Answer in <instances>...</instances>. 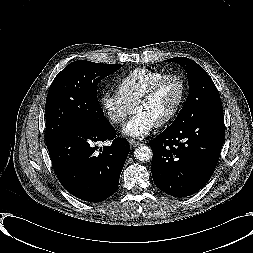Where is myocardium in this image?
<instances>
[{
    "instance_id": "obj_1",
    "label": "myocardium",
    "mask_w": 253,
    "mask_h": 253,
    "mask_svg": "<svg viewBox=\"0 0 253 253\" xmlns=\"http://www.w3.org/2000/svg\"><path fill=\"white\" fill-rule=\"evenodd\" d=\"M169 78H175L179 81L180 86H181V95L175 109L169 115H167L164 119L158 122L157 123L158 126H165L171 123L172 121H174L176 117L180 114V112L182 111L185 105L187 94H188V87H187L186 79L184 78L183 75L177 72H168V73L163 74L161 77H159L158 79H156L154 82L150 84V86L138 99L134 108L136 110L140 105L151 100L154 94L156 93V91L158 90V88L160 87V85Z\"/></svg>"
}]
</instances>
